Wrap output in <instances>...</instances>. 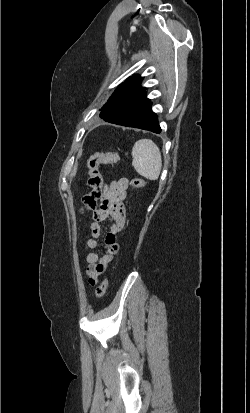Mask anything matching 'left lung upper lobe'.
<instances>
[{"instance_id": "1", "label": "left lung upper lobe", "mask_w": 250, "mask_h": 413, "mask_svg": "<svg viewBox=\"0 0 250 413\" xmlns=\"http://www.w3.org/2000/svg\"><path fill=\"white\" fill-rule=\"evenodd\" d=\"M142 79L143 78L139 75H133L125 80V82L121 83L113 92L107 103L101 108L100 117H107L118 112L123 99L140 86Z\"/></svg>"}]
</instances>
